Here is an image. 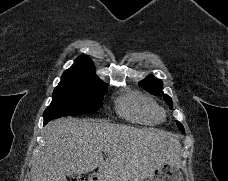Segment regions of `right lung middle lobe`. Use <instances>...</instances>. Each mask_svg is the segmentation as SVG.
Listing matches in <instances>:
<instances>
[{"label":"right lung middle lobe","mask_w":228,"mask_h":181,"mask_svg":"<svg viewBox=\"0 0 228 181\" xmlns=\"http://www.w3.org/2000/svg\"><path fill=\"white\" fill-rule=\"evenodd\" d=\"M107 85L93 82L80 85L59 84L53 92V100L43 113L44 124L52 119L96 112L103 105Z\"/></svg>","instance_id":"obj_1"}]
</instances>
